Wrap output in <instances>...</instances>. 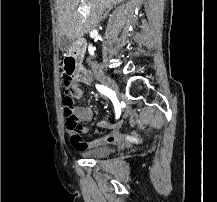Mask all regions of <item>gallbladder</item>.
Segmentation results:
<instances>
[{
  "label": "gallbladder",
  "mask_w": 217,
  "mask_h": 202,
  "mask_svg": "<svg viewBox=\"0 0 217 202\" xmlns=\"http://www.w3.org/2000/svg\"><path fill=\"white\" fill-rule=\"evenodd\" d=\"M71 38H68V36H60L59 44L61 51H67L68 47L71 45Z\"/></svg>",
  "instance_id": "gallbladder-1"
}]
</instances>
